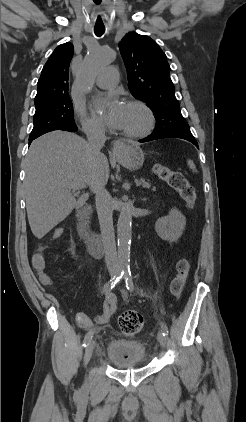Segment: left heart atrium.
I'll use <instances>...</instances> for the list:
<instances>
[{"label": "left heart atrium", "instance_id": "obj_1", "mask_svg": "<svg viewBox=\"0 0 246 422\" xmlns=\"http://www.w3.org/2000/svg\"><path fill=\"white\" fill-rule=\"evenodd\" d=\"M94 114L112 128H121L125 104L115 95L99 99L93 105Z\"/></svg>", "mask_w": 246, "mask_h": 422}]
</instances>
